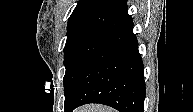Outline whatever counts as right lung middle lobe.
<instances>
[{"label": "right lung middle lobe", "instance_id": "1", "mask_svg": "<svg viewBox=\"0 0 193 112\" xmlns=\"http://www.w3.org/2000/svg\"><path fill=\"white\" fill-rule=\"evenodd\" d=\"M115 33L94 27L79 28L67 32L64 48L66 73L63 80L65 100L84 65Z\"/></svg>", "mask_w": 193, "mask_h": 112}]
</instances>
